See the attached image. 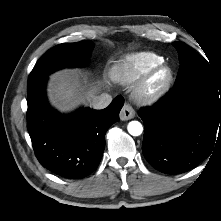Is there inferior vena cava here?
Instances as JSON below:
<instances>
[{
  "label": "inferior vena cava",
  "instance_id": "602c4592",
  "mask_svg": "<svg viewBox=\"0 0 221 221\" xmlns=\"http://www.w3.org/2000/svg\"><path fill=\"white\" fill-rule=\"evenodd\" d=\"M112 100L113 98L110 94L102 93L101 95L94 97L92 106L97 110L104 109L110 105Z\"/></svg>",
  "mask_w": 221,
  "mask_h": 221
}]
</instances>
